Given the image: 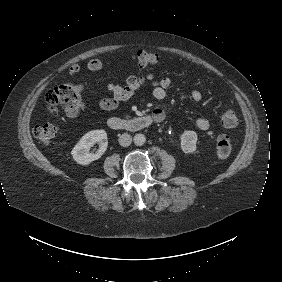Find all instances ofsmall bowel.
Returning a JSON list of instances; mask_svg holds the SVG:
<instances>
[{"mask_svg":"<svg viewBox=\"0 0 282 282\" xmlns=\"http://www.w3.org/2000/svg\"><path fill=\"white\" fill-rule=\"evenodd\" d=\"M102 65V61L95 58L87 62L86 69L90 72H95L100 70ZM79 71L80 66L74 64L69 68V75L74 76ZM148 83H150L152 87V96L158 101H162L166 98L167 90L172 86V81L169 78L156 79L151 74L139 76L130 75L123 83L112 82L108 84L107 90L110 95L99 101V107L105 111L115 110L122 102L129 100L139 88ZM188 96L194 103H199L202 100V94L198 90L188 91ZM84 107L85 105L83 103L66 107V115L68 117H75ZM153 114H155L156 117H160L162 121L164 120L165 113L161 108H157ZM194 124L200 130H207L210 127L209 121L204 117H196Z\"/></svg>","mask_w":282,"mask_h":282,"instance_id":"obj_1","label":"small bowel"}]
</instances>
